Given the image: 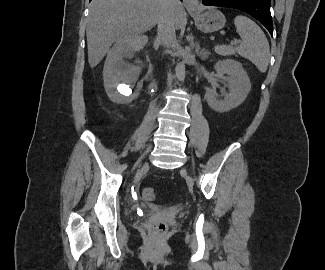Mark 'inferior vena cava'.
<instances>
[{
	"mask_svg": "<svg viewBox=\"0 0 325 270\" xmlns=\"http://www.w3.org/2000/svg\"><path fill=\"white\" fill-rule=\"evenodd\" d=\"M178 0H161V13L158 19V35L156 41L166 47L177 45L175 35V23L172 14V7ZM172 75L168 73V86L172 84Z\"/></svg>",
	"mask_w": 325,
	"mask_h": 270,
	"instance_id": "inferior-vena-cava-1",
	"label": "inferior vena cava"
}]
</instances>
